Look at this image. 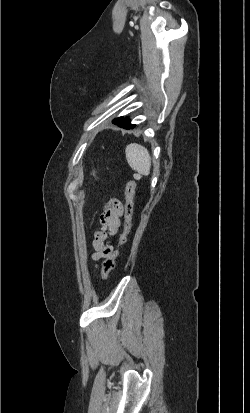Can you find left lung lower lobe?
<instances>
[{"mask_svg": "<svg viewBox=\"0 0 250 413\" xmlns=\"http://www.w3.org/2000/svg\"><path fill=\"white\" fill-rule=\"evenodd\" d=\"M113 123L115 125H118L119 127H123L125 129H132L135 127V125L130 124V122L128 120H124L123 117L117 118L115 120H113Z\"/></svg>", "mask_w": 250, "mask_h": 413, "instance_id": "1", "label": "left lung lower lobe"}]
</instances>
